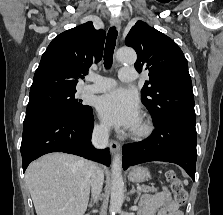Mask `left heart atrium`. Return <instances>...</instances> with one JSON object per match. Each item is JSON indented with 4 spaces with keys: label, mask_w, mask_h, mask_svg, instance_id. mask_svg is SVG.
I'll list each match as a JSON object with an SVG mask.
<instances>
[{
    "label": "left heart atrium",
    "mask_w": 223,
    "mask_h": 215,
    "mask_svg": "<svg viewBox=\"0 0 223 215\" xmlns=\"http://www.w3.org/2000/svg\"><path fill=\"white\" fill-rule=\"evenodd\" d=\"M96 107L102 120L109 126L129 128L139 120V100L127 89H117L97 98Z\"/></svg>",
    "instance_id": "obj_1"
}]
</instances>
